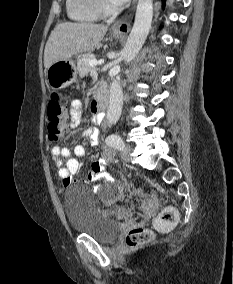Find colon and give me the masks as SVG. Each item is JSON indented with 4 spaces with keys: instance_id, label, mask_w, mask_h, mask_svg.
Segmentation results:
<instances>
[{
    "instance_id": "1",
    "label": "colon",
    "mask_w": 233,
    "mask_h": 284,
    "mask_svg": "<svg viewBox=\"0 0 233 284\" xmlns=\"http://www.w3.org/2000/svg\"><path fill=\"white\" fill-rule=\"evenodd\" d=\"M66 128V106L61 95L53 93L49 99L47 106V132L50 140L56 141L60 139ZM155 202L151 197L146 198L141 209L144 212H151L154 209ZM118 214L121 217L126 212L120 210ZM178 221V213L173 207H166L159 215L157 223L160 227L166 228L173 226ZM154 234L151 230L144 227H135L131 229L126 236V244L130 247H137L153 240Z\"/></svg>"
}]
</instances>
